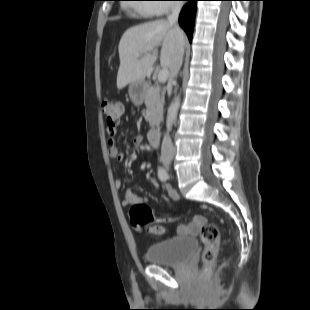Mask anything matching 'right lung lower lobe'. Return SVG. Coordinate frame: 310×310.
Segmentation results:
<instances>
[{
  "label": "right lung lower lobe",
  "instance_id": "1",
  "mask_svg": "<svg viewBox=\"0 0 310 310\" xmlns=\"http://www.w3.org/2000/svg\"><path fill=\"white\" fill-rule=\"evenodd\" d=\"M189 1L181 10L179 15V24L187 33L189 41H192L193 28H194V20L195 14L197 10V1L198 0H187Z\"/></svg>",
  "mask_w": 310,
  "mask_h": 310
}]
</instances>
